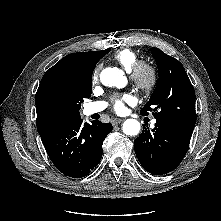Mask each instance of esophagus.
Returning a JSON list of instances; mask_svg holds the SVG:
<instances>
[{
	"instance_id": "1",
	"label": "esophagus",
	"mask_w": 221,
	"mask_h": 221,
	"mask_svg": "<svg viewBox=\"0 0 221 221\" xmlns=\"http://www.w3.org/2000/svg\"><path fill=\"white\" fill-rule=\"evenodd\" d=\"M123 121H124L123 119H114L113 125H118V124L122 123Z\"/></svg>"
}]
</instances>
